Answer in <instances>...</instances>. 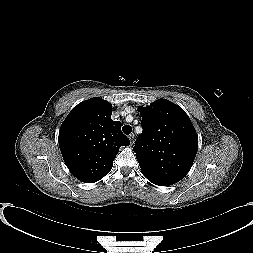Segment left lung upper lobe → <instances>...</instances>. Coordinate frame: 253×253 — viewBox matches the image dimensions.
Masks as SVG:
<instances>
[{
    "instance_id": "1",
    "label": "left lung upper lobe",
    "mask_w": 253,
    "mask_h": 253,
    "mask_svg": "<svg viewBox=\"0 0 253 253\" xmlns=\"http://www.w3.org/2000/svg\"><path fill=\"white\" fill-rule=\"evenodd\" d=\"M138 110L143 131L133 150L142 174L163 186L180 181L191 169L198 149L191 120L181 107L166 99Z\"/></svg>"
}]
</instances>
